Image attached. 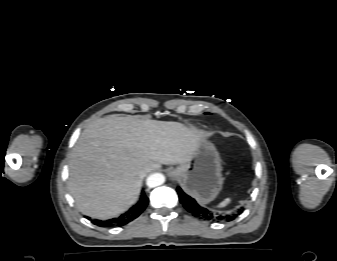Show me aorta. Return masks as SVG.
Here are the masks:
<instances>
[{"label": "aorta", "instance_id": "obj_1", "mask_svg": "<svg viewBox=\"0 0 337 261\" xmlns=\"http://www.w3.org/2000/svg\"><path fill=\"white\" fill-rule=\"evenodd\" d=\"M165 182V176L161 173H153L147 177L146 184L150 188L162 185Z\"/></svg>", "mask_w": 337, "mask_h": 261}]
</instances>
